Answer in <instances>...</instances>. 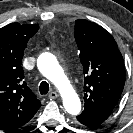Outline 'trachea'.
Instances as JSON below:
<instances>
[{"instance_id": "3493384b", "label": "trachea", "mask_w": 133, "mask_h": 133, "mask_svg": "<svg viewBox=\"0 0 133 133\" xmlns=\"http://www.w3.org/2000/svg\"><path fill=\"white\" fill-rule=\"evenodd\" d=\"M39 91L42 95L47 94L49 91V84L46 81H42L39 86Z\"/></svg>"}]
</instances>
